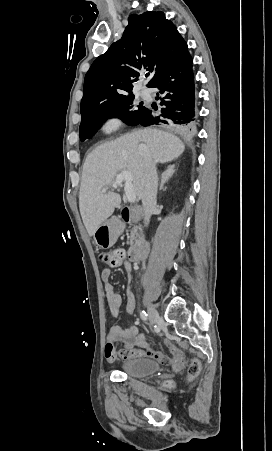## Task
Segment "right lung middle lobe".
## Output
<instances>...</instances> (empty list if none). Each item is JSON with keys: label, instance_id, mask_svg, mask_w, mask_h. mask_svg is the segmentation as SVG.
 <instances>
[{"label": "right lung middle lobe", "instance_id": "obj_1", "mask_svg": "<svg viewBox=\"0 0 272 451\" xmlns=\"http://www.w3.org/2000/svg\"><path fill=\"white\" fill-rule=\"evenodd\" d=\"M147 108L136 103L134 95L109 101L81 113L79 127L80 140L90 139L103 122L109 118H120L128 125H136L144 116Z\"/></svg>", "mask_w": 272, "mask_h": 451}]
</instances>
